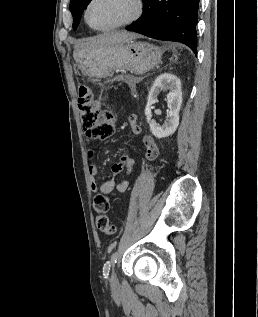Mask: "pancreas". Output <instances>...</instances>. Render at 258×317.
Masks as SVG:
<instances>
[{
	"label": "pancreas",
	"instance_id": "1",
	"mask_svg": "<svg viewBox=\"0 0 258 317\" xmlns=\"http://www.w3.org/2000/svg\"><path fill=\"white\" fill-rule=\"evenodd\" d=\"M141 80V76H128V80L126 82H129V86H132V88H135L136 82H139ZM119 84L125 83V78H118Z\"/></svg>",
	"mask_w": 258,
	"mask_h": 317
}]
</instances>
